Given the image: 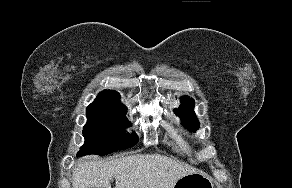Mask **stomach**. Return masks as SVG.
Returning <instances> with one entry per match:
<instances>
[{"label":"stomach","mask_w":292,"mask_h":188,"mask_svg":"<svg viewBox=\"0 0 292 188\" xmlns=\"http://www.w3.org/2000/svg\"><path fill=\"white\" fill-rule=\"evenodd\" d=\"M173 188H214V181L207 174L198 171L179 178Z\"/></svg>","instance_id":"0dacf381"}]
</instances>
